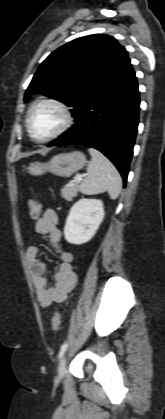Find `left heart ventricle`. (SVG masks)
Here are the masks:
<instances>
[{"mask_svg": "<svg viewBox=\"0 0 165 419\" xmlns=\"http://www.w3.org/2000/svg\"><path fill=\"white\" fill-rule=\"evenodd\" d=\"M63 115L53 105L38 106L31 116V129L33 134L43 139L53 134L62 124Z\"/></svg>", "mask_w": 165, "mask_h": 419, "instance_id": "1", "label": "left heart ventricle"}]
</instances>
